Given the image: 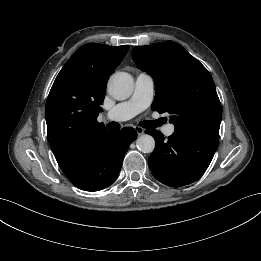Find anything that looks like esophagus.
I'll list each match as a JSON object with an SVG mask.
<instances>
[{
	"label": "esophagus",
	"instance_id": "obj_1",
	"mask_svg": "<svg viewBox=\"0 0 261 261\" xmlns=\"http://www.w3.org/2000/svg\"><path fill=\"white\" fill-rule=\"evenodd\" d=\"M135 130H136V132H137V134H138L139 136H140V135H143L144 132H145V130H144L142 127H139V126L135 127Z\"/></svg>",
	"mask_w": 261,
	"mask_h": 261
}]
</instances>
